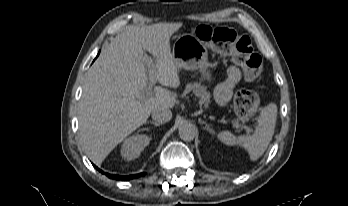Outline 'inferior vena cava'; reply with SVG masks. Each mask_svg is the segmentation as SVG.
Here are the masks:
<instances>
[{"label": "inferior vena cava", "mask_w": 348, "mask_h": 206, "mask_svg": "<svg viewBox=\"0 0 348 206\" xmlns=\"http://www.w3.org/2000/svg\"><path fill=\"white\" fill-rule=\"evenodd\" d=\"M152 119L158 123H165L171 120L172 112L170 109L158 107L151 112Z\"/></svg>", "instance_id": "602c4592"}]
</instances>
